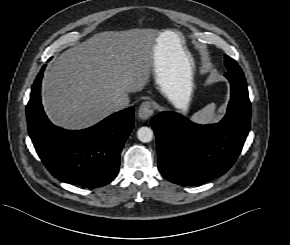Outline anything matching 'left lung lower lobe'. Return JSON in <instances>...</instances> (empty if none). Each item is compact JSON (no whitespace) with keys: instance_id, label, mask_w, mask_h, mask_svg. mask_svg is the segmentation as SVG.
Segmentation results:
<instances>
[{"instance_id":"0a47b994","label":"left lung lower lobe","mask_w":290,"mask_h":245,"mask_svg":"<svg viewBox=\"0 0 290 245\" xmlns=\"http://www.w3.org/2000/svg\"><path fill=\"white\" fill-rule=\"evenodd\" d=\"M231 99L217 124L198 125L175 112L151 120L157 139L158 169L169 181L199 185L227 172L250 129L251 107L243 72L228 71Z\"/></svg>"}]
</instances>
